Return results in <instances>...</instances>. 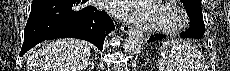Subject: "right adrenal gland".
I'll list each match as a JSON object with an SVG mask.
<instances>
[{
  "label": "right adrenal gland",
  "mask_w": 230,
  "mask_h": 71,
  "mask_svg": "<svg viewBox=\"0 0 230 71\" xmlns=\"http://www.w3.org/2000/svg\"><path fill=\"white\" fill-rule=\"evenodd\" d=\"M90 66V69L94 70V60L90 58L88 64L85 66L84 70H86Z\"/></svg>",
  "instance_id": "right-adrenal-gland-1"
}]
</instances>
